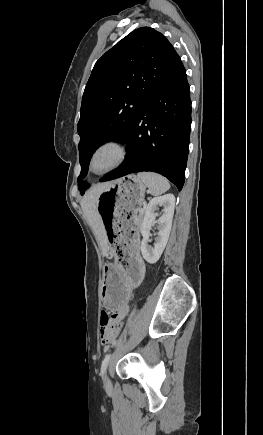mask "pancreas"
<instances>
[{
  "label": "pancreas",
  "mask_w": 263,
  "mask_h": 435,
  "mask_svg": "<svg viewBox=\"0 0 263 435\" xmlns=\"http://www.w3.org/2000/svg\"><path fill=\"white\" fill-rule=\"evenodd\" d=\"M137 212H139L138 216L136 217V220L138 223L142 221L143 215H144V209L140 211V209H137Z\"/></svg>",
  "instance_id": "obj_1"
}]
</instances>
